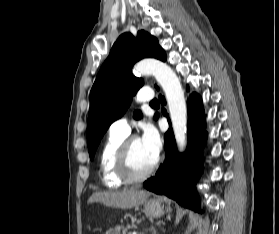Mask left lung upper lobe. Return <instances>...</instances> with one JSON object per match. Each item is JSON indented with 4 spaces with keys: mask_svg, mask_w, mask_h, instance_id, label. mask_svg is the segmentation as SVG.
<instances>
[{
    "mask_svg": "<svg viewBox=\"0 0 279 234\" xmlns=\"http://www.w3.org/2000/svg\"><path fill=\"white\" fill-rule=\"evenodd\" d=\"M142 58L165 62L166 53L158 40L145 31L138 32L136 38L124 33L101 66L90 93L87 143L91 160L104 133L125 113L133 96L143 86L144 81L132 75L133 65ZM134 118H142L141 111L136 110Z\"/></svg>",
    "mask_w": 279,
    "mask_h": 234,
    "instance_id": "5c2ea615",
    "label": "left lung upper lobe"
}]
</instances>
